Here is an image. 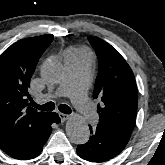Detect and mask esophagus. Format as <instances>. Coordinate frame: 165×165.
<instances>
[{"instance_id": "34e87169", "label": "esophagus", "mask_w": 165, "mask_h": 165, "mask_svg": "<svg viewBox=\"0 0 165 165\" xmlns=\"http://www.w3.org/2000/svg\"><path fill=\"white\" fill-rule=\"evenodd\" d=\"M59 117H60L61 121L64 122V121H66L69 118V115L63 114V113H59Z\"/></svg>"}]
</instances>
